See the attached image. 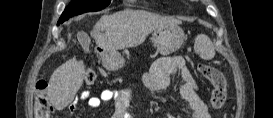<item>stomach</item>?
Wrapping results in <instances>:
<instances>
[{"instance_id":"1","label":"stomach","mask_w":273,"mask_h":118,"mask_svg":"<svg viewBox=\"0 0 273 118\" xmlns=\"http://www.w3.org/2000/svg\"><path fill=\"white\" fill-rule=\"evenodd\" d=\"M185 39L184 31L178 25L158 27L153 30L151 37L157 51L162 55L177 51ZM102 63L107 70L116 71L125 65V59L118 52H105L102 54Z\"/></svg>"}]
</instances>
